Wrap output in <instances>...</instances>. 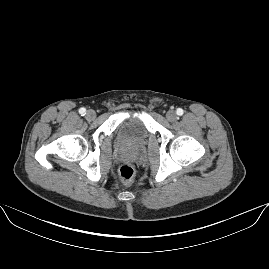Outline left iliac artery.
<instances>
[{
	"label": "left iliac artery",
	"mask_w": 269,
	"mask_h": 269,
	"mask_svg": "<svg viewBox=\"0 0 269 269\" xmlns=\"http://www.w3.org/2000/svg\"><path fill=\"white\" fill-rule=\"evenodd\" d=\"M176 113H177V115L181 116V115H183L184 112H183V109L178 108Z\"/></svg>",
	"instance_id": "left-iliac-artery-1"
}]
</instances>
